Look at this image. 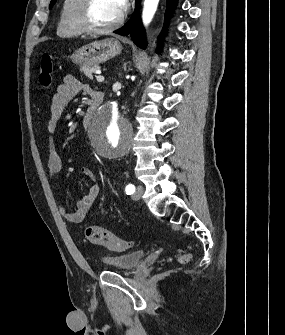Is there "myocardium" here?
I'll return each instance as SVG.
<instances>
[{
    "mask_svg": "<svg viewBox=\"0 0 285 335\" xmlns=\"http://www.w3.org/2000/svg\"><path fill=\"white\" fill-rule=\"evenodd\" d=\"M93 1H80L77 14V22L81 31L87 35L96 36L110 33L117 29L123 20V13L121 12L117 20L103 28H98L94 26L91 21V8Z\"/></svg>",
    "mask_w": 285,
    "mask_h": 335,
    "instance_id": "obj_1",
    "label": "myocardium"
}]
</instances>
